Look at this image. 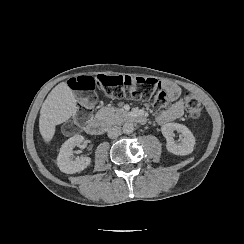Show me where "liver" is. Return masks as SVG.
I'll return each mask as SVG.
<instances>
[{
	"instance_id": "liver-1",
	"label": "liver",
	"mask_w": 244,
	"mask_h": 244,
	"mask_svg": "<svg viewBox=\"0 0 244 244\" xmlns=\"http://www.w3.org/2000/svg\"><path fill=\"white\" fill-rule=\"evenodd\" d=\"M76 105L75 93L67 82H61L51 90L41 106L39 117V132L46 144L53 140L56 127L75 114Z\"/></svg>"
}]
</instances>
